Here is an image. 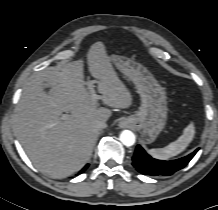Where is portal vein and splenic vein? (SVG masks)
I'll list each match as a JSON object with an SVG mask.
<instances>
[{"label":"portal vein and splenic vein","mask_w":218,"mask_h":210,"mask_svg":"<svg viewBox=\"0 0 218 210\" xmlns=\"http://www.w3.org/2000/svg\"><path fill=\"white\" fill-rule=\"evenodd\" d=\"M95 82H96V81H89V82L87 83L93 101H96L97 99H99V96L95 93V90H94V83H95ZM69 117H70V115L64 114V115L61 116V119H62V120H67Z\"/></svg>","instance_id":"18ae733b"}]
</instances>
